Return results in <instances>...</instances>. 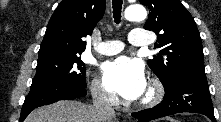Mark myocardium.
Wrapping results in <instances>:
<instances>
[{
  "label": "myocardium",
  "mask_w": 221,
  "mask_h": 122,
  "mask_svg": "<svg viewBox=\"0 0 221 122\" xmlns=\"http://www.w3.org/2000/svg\"><path fill=\"white\" fill-rule=\"evenodd\" d=\"M164 96V87L162 83L157 80L153 79L150 81L148 89L140 101L142 106H154L159 103Z\"/></svg>",
  "instance_id": "obj_1"
}]
</instances>
